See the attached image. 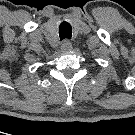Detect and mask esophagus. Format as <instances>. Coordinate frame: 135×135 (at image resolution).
Listing matches in <instances>:
<instances>
[{
	"label": "esophagus",
	"mask_w": 135,
	"mask_h": 135,
	"mask_svg": "<svg viewBox=\"0 0 135 135\" xmlns=\"http://www.w3.org/2000/svg\"><path fill=\"white\" fill-rule=\"evenodd\" d=\"M61 52H69L72 49V44L68 40L64 41L61 45Z\"/></svg>",
	"instance_id": "esophagus-1"
}]
</instances>
